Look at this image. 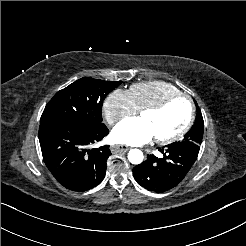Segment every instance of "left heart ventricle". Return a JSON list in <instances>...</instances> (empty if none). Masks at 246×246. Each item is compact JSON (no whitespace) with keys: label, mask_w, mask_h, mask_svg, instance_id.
Wrapping results in <instances>:
<instances>
[{"label":"left heart ventricle","mask_w":246,"mask_h":246,"mask_svg":"<svg viewBox=\"0 0 246 246\" xmlns=\"http://www.w3.org/2000/svg\"><path fill=\"white\" fill-rule=\"evenodd\" d=\"M189 105L185 99L172 101L160 112H146L140 115L151 129L155 138H165L179 131L186 123Z\"/></svg>","instance_id":"obj_1"}]
</instances>
